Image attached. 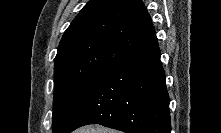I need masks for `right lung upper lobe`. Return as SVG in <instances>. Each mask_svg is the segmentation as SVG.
Returning a JSON list of instances; mask_svg holds the SVG:
<instances>
[{
	"instance_id": "cb5924a9",
	"label": "right lung upper lobe",
	"mask_w": 221,
	"mask_h": 133,
	"mask_svg": "<svg viewBox=\"0 0 221 133\" xmlns=\"http://www.w3.org/2000/svg\"><path fill=\"white\" fill-rule=\"evenodd\" d=\"M157 45L155 29L141 0H91L65 31L54 73L110 67Z\"/></svg>"
}]
</instances>
